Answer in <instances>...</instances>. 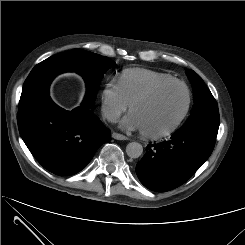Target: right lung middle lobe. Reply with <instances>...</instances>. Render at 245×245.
<instances>
[{
	"mask_svg": "<svg viewBox=\"0 0 245 245\" xmlns=\"http://www.w3.org/2000/svg\"><path fill=\"white\" fill-rule=\"evenodd\" d=\"M50 58L52 67L62 72L75 71L82 75L87 85V94L82 106L91 109L104 73L115 65V62L108 57L88 52L81 49L56 54ZM48 97V89L45 92L38 91L29 83L24 82L19 102V112H25L37 102Z\"/></svg>",
	"mask_w": 245,
	"mask_h": 245,
	"instance_id": "right-lung-middle-lobe-1",
	"label": "right lung middle lobe"
}]
</instances>
